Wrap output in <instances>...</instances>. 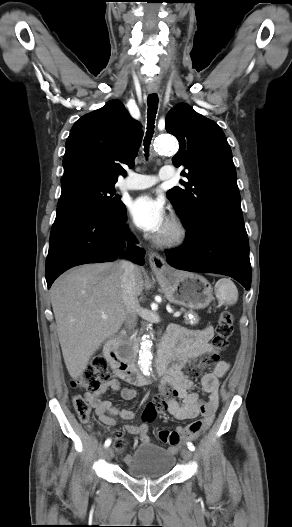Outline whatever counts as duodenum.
Here are the masks:
<instances>
[{
	"label": "duodenum",
	"instance_id": "410a0bca",
	"mask_svg": "<svg viewBox=\"0 0 292 527\" xmlns=\"http://www.w3.org/2000/svg\"><path fill=\"white\" fill-rule=\"evenodd\" d=\"M106 354L111 361L114 371L122 376L123 379L131 384L141 386L149 381V378L143 376L135 365L122 354L121 342L119 338L111 339L105 347ZM171 351L166 342L159 348L158 358L154 364L156 376L164 375L169 367Z\"/></svg>",
	"mask_w": 292,
	"mask_h": 527
}]
</instances>
